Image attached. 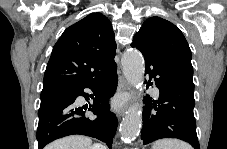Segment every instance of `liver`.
Listing matches in <instances>:
<instances>
[{
	"mask_svg": "<svg viewBox=\"0 0 227 149\" xmlns=\"http://www.w3.org/2000/svg\"><path fill=\"white\" fill-rule=\"evenodd\" d=\"M91 144L92 140L88 137L72 135L52 142L45 149H90Z\"/></svg>",
	"mask_w": 227,
	"mask_h": 149,
	"instance_id": "obj_1",
	"label": "liver"
}]
</instances>
